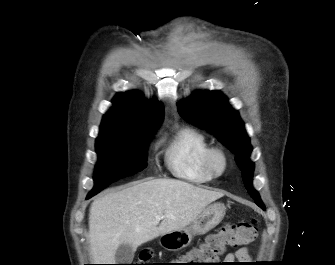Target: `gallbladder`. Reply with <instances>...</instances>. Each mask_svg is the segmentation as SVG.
Listing matches in <instances>:
<instances>
[{
  "instance_id": "obj_1",
  "label": "gallbladder",
  "mask_w": 335,
  "mask_h": 265,
  "mask_svg": "<svg viewBox=\"0 0 335 265\" xmlns=\"http://www.w3.org/2000/svg\"><path fill=\"white\" fill-rule=\"evenodd\" d=\"M135 249L130 244H121L115 253L117 264H130L134 258Z\"/></svg>"
}]
</instances>
